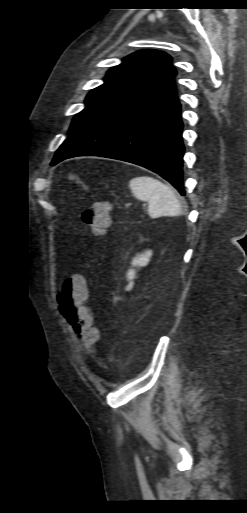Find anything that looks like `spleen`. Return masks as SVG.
Segmentation results:
<instances>
[{
	"label": "spleen",
	"instance_id": "spleen-1",
	"mask_svg": "<svg viewBox=\"0 0 247 513\" xmlns=\"http://www.w3.org/2000/svg\"><path fill=\"white\" fill-rule=\"evenodd\" d=\"M131 193L141 201L148 203V214L151 218L162 216H178L183 207L174 191L163 182L151 176H137L128 185Z\"/></svg>",
	"mask_w": 247,
	"mask_h": 513
}]
</instances>
